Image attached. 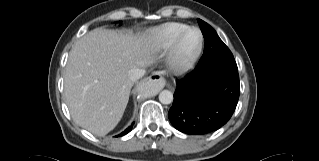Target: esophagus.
I'll return each mask as SVG.
<instances>
[{
	"label": "esophagus",
	"mask_w": 319,
	"mask_h": 161,
	"mask_svg": "<svg viewBox=\"0 0 319 161\" xmlns=\"http://www.w3.org/2000/svg\"><path fill=\"white\" fill-rule=\"evenodd\" d=\"M147 82H151L155 89L161 90L165 84L166 80L163 77L162 71H154L149 77L146 78Z\"/></svg>",
	"instance_id": "1"
}]
</instances>
